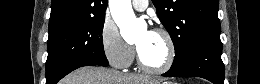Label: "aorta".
Wrapping results in <instances>:
<instances>
[{
  "mask_svg": "<svg viewBox=\"0 0 260 84\" xmlns=\"http://www.w3.org/2000/svg\"><path fill=\"white\" fill-rule=\"evenodd\" d=\"M109 7L122 37L127 42L137 39L143 26L133 12L131 0H109Z\"/></svg>",
  "mask_w": 260,
  "mask_h": 84,
  "instance_id": "aorta-1",
  "label": "aorta"
}]
</instances>
